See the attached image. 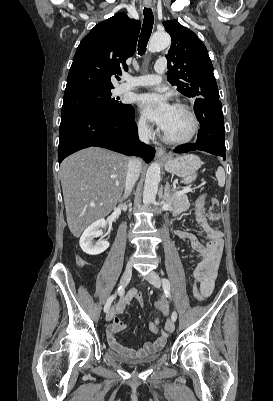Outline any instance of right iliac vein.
<instances>
[{
    "label": "right iliac vein",
    "instance_id": "63e3f726",
    "mask_svg": "<svg viewBox=\"0 0 273 401\" xmlns=\"http://www.w3.org/2000/svg\"><path fill=\"white\" fill-rule=\"evenodd\" d=\"M131 276H132V267L128 266L125 269V271H124V273H123V275L121 277L120 285L122 287L126 286L129 283V281L131 280ZM114 313H115V307L112 306L111 309L106 314V321L107 322L112 320V318L114 316Z\"/></svg>",
    "mask_w": 273,
    "mask_h": 401
}]
</instances>
